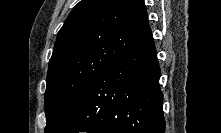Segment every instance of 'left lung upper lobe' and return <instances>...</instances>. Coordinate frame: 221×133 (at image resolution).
<instances>
[{
  "label": "left lung upper lobe",
  "mask_w": 221,
  "mask_h": 133,
  "mask_svg": "<svg viewBox=\"0 0 221 133\" xmlns=\"http://www.w3.org/2000/svg\"><path fill=\"white\" fill-rule=\"evenodd\" d=\"M150 31L143 0H81L49 61L44 132L56 133L97 76Z\"/></svg>",
  "instance_id": "obj_1"
}]
</instances>
